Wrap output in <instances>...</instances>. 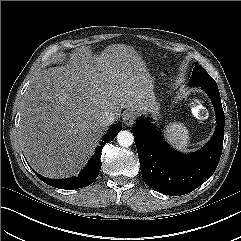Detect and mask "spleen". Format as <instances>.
<instances>
[{
  "label": "spleen",
  "instance_id": "spleen-1",
  "mask_svg": "<svg viewBox=\"0 0 241 241\" xmlns=\"http://www.w3.org/2000/svg\"><path fill=\"white\" fill-rule=\"evenodd\" d=\"M166 141L176 150L186 153L190 143L189 131L183 123H170L163 130Z\"/></svg>",
  "mask_w": 241,
  "mask_h": 241
}]
</instances>
